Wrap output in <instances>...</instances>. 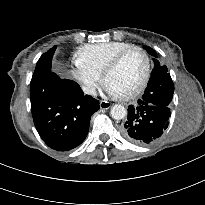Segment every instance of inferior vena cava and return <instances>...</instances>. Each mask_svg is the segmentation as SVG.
Here are the masks:
<instances>
[{
	"label": "inferior vena cava",
	"mask_w": 205,
	"mask_h": 205,
	"mask_svg": "<svg viewBox=\"0 0 205 205\" xmlns=\"http://www.w3.org/2000/svg\"><path fill=\"white\" fill-rule=\"evenodd\" d=\"M82 90L85 94L92 95V96H97L96 89L93 86H90V85L83 86Z\"/></svg>",
	"instance_id": "602c4592"
}]
</instances>
